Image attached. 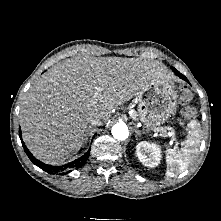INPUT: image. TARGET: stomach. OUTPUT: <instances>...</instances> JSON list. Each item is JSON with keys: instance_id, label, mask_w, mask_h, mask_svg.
<instances>
[{"instance_id": "obj_1", "label": "stomach", "mask_w": 221, "mask_h": 221, "mask_svg": "<svg viewBox=\"0 0 221 221\" xmlns=\"http://www.w3.org/2000/svg\"><path fill=\"white\" fill-rule=\"evenodd\" d=\"M137 118L150 131L168 120L177 106V93L172 82L156 79L137 93Z\"/></svg>"}]
</instances>
